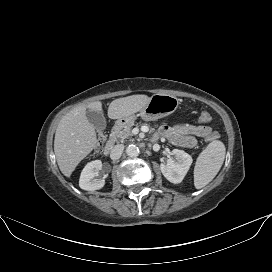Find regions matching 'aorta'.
Wrapping results in <instances>:
<instances>
[{"label":"aorta","mask_w":272,"mask_h":272,"mask_svg":"<svg viewBox=\"0 0 272 272\" xmlns=\"http://www.w3.org/2000/svg\"><path fill=\"white\" fill-rule=\"evenodd\" d=\"M126 154L130 157H137L139 155V148L133 144L128 145L126 148Z\"/></svg>","instance_id":"aorta-1"}]
</instances>
